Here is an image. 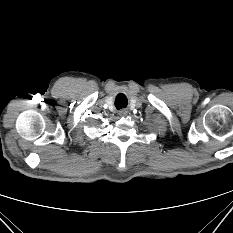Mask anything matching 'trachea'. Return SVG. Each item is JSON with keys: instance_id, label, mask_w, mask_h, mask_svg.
I'll list each match as a JSON object with an SVG mask.
<instances>
[{"instance_id": "3493384b", "label": "trachea", "mask_w": 233, "mask_h": 233, "mask_svg": "<svg viewBox=\"0 0 233 233\" xmlns=\"http://www.w3.org/2000/svg\"><path fill=\"white\" fill-rule=\"evenodd\" d=\"M128 104L127 98L123 94H119L115 100V106L117 109L125 108Z\"/></svg>"}]
</instances>
